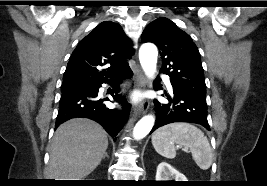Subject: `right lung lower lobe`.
<instances>
[{
  "mask_svg": "<svg viewBox=\"0 0 267 186\" xmlns=\"http://www.w3.org/2000/svg\"><path fill=\"white\" fill-rule=\"evenodd\" d=\"M132 74L130 67L126 66L108 79L63 88L55 127L72 118L86 117L101 124L115 141L116 135L127 121L130 111L126 99L118 94L119 84L124 79L131 77ZM102 83H113L111 95L114 101L121 105V110L107 108L103 102L109 99L98 97Z\"/></svg>",
  "mask_w": 267,
  "mask_h": 186,
  "instance_id": "98d812e1",
  "label": "right lung lower lobe"
}]
</instances>
